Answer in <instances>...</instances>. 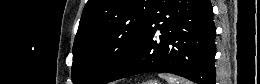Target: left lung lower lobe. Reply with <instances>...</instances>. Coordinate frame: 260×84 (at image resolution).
<instances>
[{"label": "left lung lower lobe", "mask_w": 260, "mask_h": 84, "mask_svg": "<svg viewBox=\"0 0 260 84\" xmlns=\"http://www.w3.org/2000/svg\"><path fill=\"white\" fill-rule=\"evenodd\" d=\"M215 35L209 0H156L133 52L108 82L162 71L215 84Z\"/></svg>", "instance_id": "obj_1"}]
</instances>
